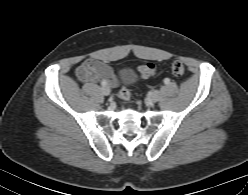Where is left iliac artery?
Segmentation results:
<instances>
[{
    "label": "left iliac artery",
    "mask_w": 248,
    "mask_h": 195,
    "mask_svg": "<svg viewBox=\"0 0 248 195\" xmlns=\"http://www.w3.org/2000/svg\"><path fill=\"white\" fill-rule=\"evenodd\" d=\"M169 81H170V80H169L168 78H166V79L164 80V83H165V84H168Z\"/></svg>",
    "instance_id": "left-iliac-artery-1"
}]
</instances>
